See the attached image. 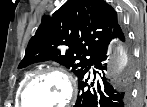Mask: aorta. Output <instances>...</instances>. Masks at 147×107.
Returning <instances> with one entry per match:
<instances>
[{"mask_svg": "<svg viewBox=\"0 0 147 107\" xmlns=\"http://www.w3.org/2000/svg\"><path fill=\"white\" fill-rule=\"evenodd\" d=\"M130 73V54L121 42L115 41L106 77L113 86H118Z\"/></svg>", "mask_w": 147, "mask_h": 107, "instance_id": "obj_1", "label": "aorta"}]
</instances>
